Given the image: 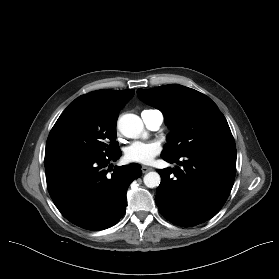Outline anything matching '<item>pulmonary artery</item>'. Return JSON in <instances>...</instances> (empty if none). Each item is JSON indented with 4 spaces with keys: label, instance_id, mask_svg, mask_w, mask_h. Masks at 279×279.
Returning a JSON list of instances; mask_svg holds the SVG:
<instances>
[{
    "label": "pulmonary artery",
    "instance_id": "pulmonary-artery-1",
    "mask_svg": "<svg viewBox=\"0 0 279 279\" xmlns=\"http://www.w3.org/2000/svg\"><path fill=\"white\" fill-rule=\"evenodd\" d=\"M141 117L151 130H158L163 123V114L159 110H144Z\"/></svg>",
    "mask_w": 279,
    "mask_h": 279
}]
</instances>
